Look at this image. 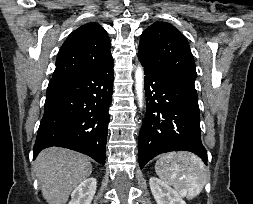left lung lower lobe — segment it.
Masks as SVG:
<instances>
[{
    "label": "left lung lower lobe",
    "instance_id": "obj_1",
    "mask_svg": "<svg viewBox=\"0 0 253 204\" xmlns=\"http://www.w3.org/2000/svg\"><path fill=\"white\" fill-rule=\"evenodd\" d=\"M142 65L147 106L138 139L140 168L158 154L178 150L193 152L207 164L194 83Z\"/></svg>",
    "mask_w": 253,
    "mask_h": 204
}]
</instances>
